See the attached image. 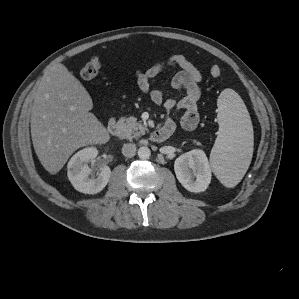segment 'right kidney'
<instances>
[{
  "label": "right kidney",
  "mask_w": 299,
  "mask_h": 299,
  "mask_svg": "<svg viewBox=\"0 0 299 299\" xmlns=\"http://www.w3.org/2000/svg\"><path fill=\"white\" fill-rule=\"evenodd\" d=\"M98 155L96 147H87L78 151L68 162V178L73 187L84 194H97L102 191L111 176V170L106 165L99 167V172L92 175L93 170L88 166Z\"/></svg>",
  "instance_id": "1"
}]
</instances>
